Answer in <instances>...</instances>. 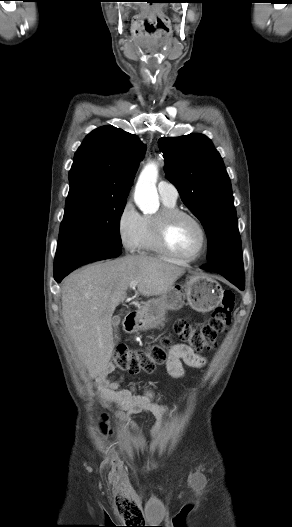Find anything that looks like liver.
<instances>
[{
  "label": "liver",
  "mask_w": 292,
  "mask_h": 527,
  "mask_svg": "<svg viewBox=\"0 0 292 527\" xmlns=\"http://www.w3.org/2000/svg\"><path fill=\"white\" fill-rule=\"evenodd\" d=\"M185 268L145 255H126L88 265L62 286V314L78 356L91 378L107 367L115 346L112 314L132 281L144 296L169 291Z\"/></svg>",
  "instance_id": "1"
}]
</instances>
